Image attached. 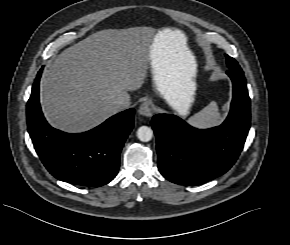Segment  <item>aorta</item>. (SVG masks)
<instances>
[{
  "label": "aorta",
  "mask_w": 290,
  "mask_h": 245,
  "mask_svg": "<svg viewBox=\"0 0 290 245\" xmlns=\"http://www.w3.org/2000/svg\"><path fill=\"white\" fill-rule=\"evenodd\" d=\"M137 137L142 142H148L153 137V130L148 126H141L137 130Z\"/></svg>",
  "instance_id": "aorta-1"
}]
</instances>
